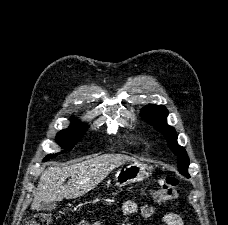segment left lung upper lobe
<instances>
[{"mask_svg": "<svg viewBox=\"0 0 228 225\" xmlns=\"http://www.w3.org/2000/svg\"><path fill=\"white\" fill-rule=\"evenodd\" d=\"M141 117L149 124L161 132L168 142L169 148L178 157V170L181 174L190 178L187 172L189 166V158L185 149L178 145L177 134L175 129L167 125L166 117L168 115L167 109L162 105H148L144 107L140 113Z\"/></svg>", "mask_w": 228, "mask_h": 225, "instance_id": "5c2ea615", "label": "left lung upper lobe"}]
</instances>
